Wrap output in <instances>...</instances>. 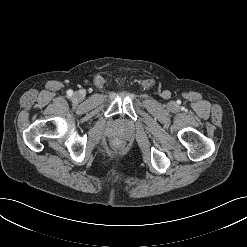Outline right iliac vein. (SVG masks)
Returning <instances> with one entry per match:
<instances>
[{
    "instance_id": "63e3f726",
    "label": "right iliac vein",
    "mask_w": 247,
    "mask_h": 247,
    "mask_svg": "<svg viewBox=\"0 0 247 247\" xmlns=\"http://www.w3.org/2000/svg\"><path fill=\"white\" fill-rule=\"evenodd\" d=\"M82 97H83V95H82V93H80V92H76V93H74V95H73V99H74L75 101H80V100L82 99Z\"/></svg>"
}]
</instances>
